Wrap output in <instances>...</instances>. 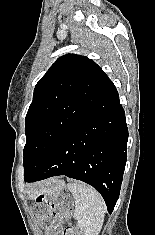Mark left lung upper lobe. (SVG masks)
<instances>
[{
    "instance_id": "left-lung-upper-lobe-1",
    "label": "left lung upper lobe",
    "mask_w": 155,
    "mask_h": 235,
    "mask_svg": "<svg viewBox=\"0 0 155 235\" xmlns=\"http://www.w3.org/2000/svg\"><path fill=\"white\" fill-rule=\"evenodd\" d=\"M110 84L102 69L84 56L64 55L50 67L36 84L26 115L24 177L40 170Z\"/></svg>"
}]
</instances>
